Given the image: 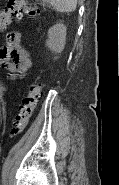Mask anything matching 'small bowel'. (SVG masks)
<instances>
[{
    "mask_svg": "<svg viewBox=\"0 0 119 185\" xmlns=\"http://www.w3.org/2000/svg\"><path fill=\"white\" fill-rule=\"evenodd\" d=\"M0 65L9 71L13 80L21 78L31 69L32 61L19 32L6 34V45L0 49Z\"/></svg>",
    "mask_w": 119,
    "mask_h": 185,
    "instance_id": "small-bowel-1",
    "label": "small bowel"
}]
</instances>
